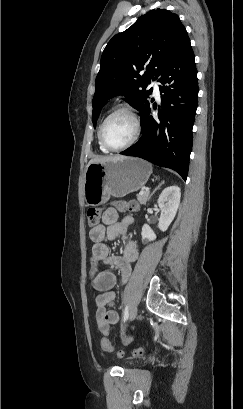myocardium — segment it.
Instances as JSON below:
<instances>
[{"label": "myocardium", "instance_id": "f54148a6", "mask_svg": "<svg viewBox=\"0 0 243 409\" xmlns=\"http://www.w3.org/2000/svg\"><path fill=\"white\" fill-rule=\"evenodd\" d=\"M120 113H126L128 114L131 119L134 122V135L133 137L124 145L120 146V147H113L111 146L105 139L104 136V127L106 125V123L108 122L109 119H111L113 116L120 114ZM141 129H142V124H141V119L139 116L138 111L131 105L129 104H125V105H121L118 106L117 108H115L110 114H108L106 116V118L103 120V122L101 123L100 127H99V132H98V137L100 140V143L109 151H114V152H119L122 151L130 146H132L140 137L141 134Z\"/></svg>", "mask_w": 243, "mask_h": 409}]
</instances>
